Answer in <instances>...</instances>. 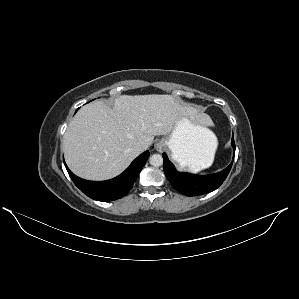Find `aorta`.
I'll return each instance as SVG.
<instances>
[{
  "mask_svg": "<svg viewBox=\"0 0 299 299\" xmlns=\"http://www.w3.org/2000/svg\"><path fill=\"white\" fill-rule=\"evenodd\" d=\"M149 162L154 167H159L163 164V158L160 154H153L150 156Z\"/></svg>",
  "mask_w": 299,
  "mask_h": 299,
  "instance_id": "762f6f07",
  "label": "aorta"
}]
</instances>
